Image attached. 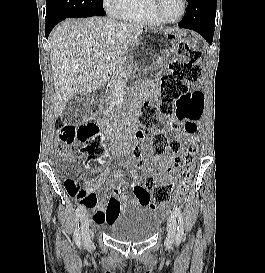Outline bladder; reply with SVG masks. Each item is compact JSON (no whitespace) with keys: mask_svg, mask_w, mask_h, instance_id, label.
<instances>
[{"mask_svg":"<svg viewBox=\"0 0 265 273\" xmlns=\"http://www.w3.org/2000/svg\"><path fill=\"white\" fill-rule=\"evenodd\" d=\"M160 224V215L152 208L139 203L124 208L105 225V231L116 241L140 243L150 240L158 232Z\"/></svg>","mask_w":265,"mask_h":273,"instance_id":"1","label":"bladder"}]
</instances>
